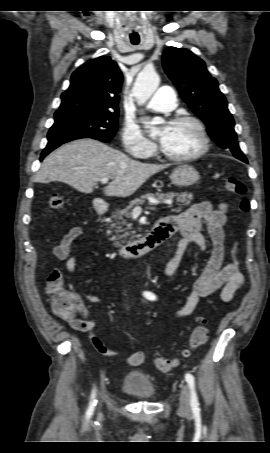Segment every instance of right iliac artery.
<instances>
[{
  "label": "right iliac artery",
  "instance_id": "82829eb1",
  "mask_svg": "<svg viewBox=\"0 0 270 453\" xmlns=\"http://www.w3.org/2000/svg\"><path fill=\"white\" fill-rule=\"evenodd\" d=\"M94 398H95V391L93 390L92 395H91L90 406H89V409L87 411V415H91L93 410H94V406L96 405V400Z\"/></svg>",
  "mask_w": 270,
  "mask_h": 453
}]
</instances>
